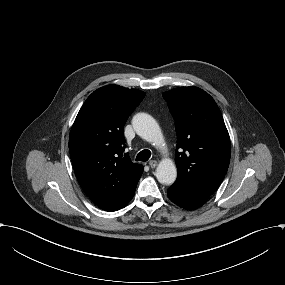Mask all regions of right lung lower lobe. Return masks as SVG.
<instances>
[{"label":"right lung lower lobe","mask_w":285,"mask_h":285,"mask_svg":"<svg viewBox=\"0 0 285 285\" xmlns=\"http://www.w3.org/2000/svg\"><path fill=\"white\" fill-rule=\"evenodd\" d=\"M134 193H135V192H134ZM133 196H134V194H133ZM133 196H132V197H133ZM132 197L130 198V200L132 199ZM130 200H129V201H130ZM129 201H128V202H129ZM128 202H127V203H128Z\"/></svg>","instance_id":"1"}]
</instances>
